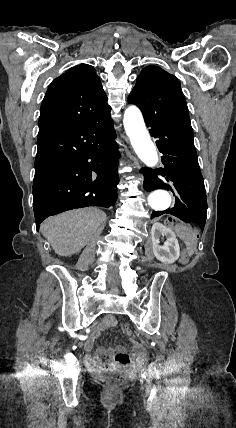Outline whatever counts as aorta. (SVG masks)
<instances>
[{"instance_id":"762f6f07","label":"aorta","mask_w":236,"mask_h":428,"mask_svg":"<svg viewBox=\"0 0 236 428\" xmlns=\"http://www.w3.org/2000/svg\"><path fill=\"white\" fill-rule=\"evenodd\" d=\"M123 124L137 156L147 167L154 168L159 160L157 150L146 129L141 111L136 106H129L125 110ZM148 203L154 211L161 212L171 205V196L165 190H156L148 196Z\"/></svg>"}]
</instances>
